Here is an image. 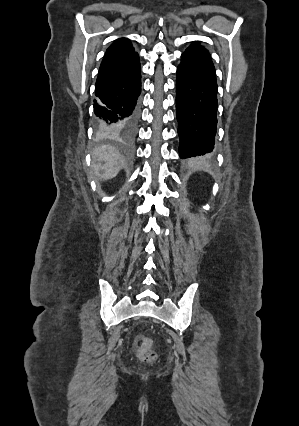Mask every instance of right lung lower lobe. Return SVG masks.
Here are the masks:
<instances>
[{
	"instance_id": "98d812e1",
	"label": "right lung lower lobe",
	"mask_w": 299,
	"mask_h": 426,
	"mask_svg": "<svg viewBox=\"0 0 299 426\" xmlns=\"http://www.w3.org/2000/svg\"><path fill=\"white\" fill-rule=\"evenodd\" d=\"M141 70L138 54L101 63L95 84L98 130L132 138L138 121Z\"/></svg>"
}]
</instances>
